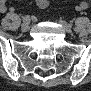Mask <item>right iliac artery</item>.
<instances>
[{"label":"right iliac artery","instance_id":"1","mask_svg":"<svg viewBox=\"0 0 91 91\" xmlns=\"http://www.w3.org/2000/svg\"><path fill=\"white\" fill-rule=\"evenodd\" d=\"M23 21H30V17H29V16H25V17L23 18Z\"/></svg>","mask_w":91,"mask_h":91}]
</instances>
